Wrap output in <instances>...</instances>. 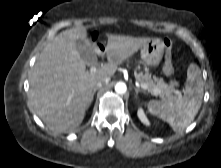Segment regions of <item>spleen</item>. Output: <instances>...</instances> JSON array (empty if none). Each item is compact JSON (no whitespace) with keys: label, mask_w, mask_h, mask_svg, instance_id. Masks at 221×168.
I'll use <instances>...</instances> for the list:
<instances>
[{"label":"spleen","mask_w":221,"mask_h":168,"mask_svg":"<svg viewBox=\"0 0 221 168\" xmlns=\"http://www.w3.org/2000/svg\"><path fill=\"white\" fill-rule=\"evenodd\" d=\"M203 86L201 70L192 63L187 70V81L183 96H170L160 101L147 103L148 111L170 124L175 132L183 131L194 120L198 113L202 98Z\"/></svg>","instance_id":"3e777b00"}]
</instances>
